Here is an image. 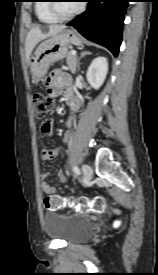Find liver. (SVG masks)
<instances>
[{
  "label": "liver",
  "mask_w": 158,
  "mask_h": 275,
  "mask_svg": "<svg viewBox=\"0 0 158 275\" xmlns=\"http://www.w3.org/2000/svg\"><path fill=\"white\" fill-rule=\"evenodd\" d=\"M65 29L64 25L36 26L33 27L26 38V58L30 61V56L36 45L48 37H52Z\"/></svg>",
  "instance_id": "liver-1"
}]
</instances>
